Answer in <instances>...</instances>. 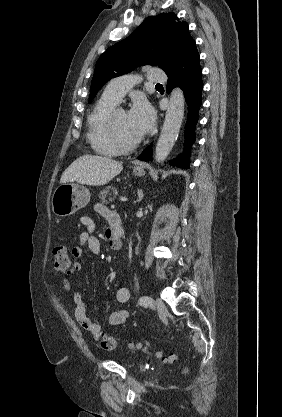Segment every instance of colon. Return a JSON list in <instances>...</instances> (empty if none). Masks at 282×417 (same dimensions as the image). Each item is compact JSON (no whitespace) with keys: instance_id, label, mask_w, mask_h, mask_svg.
Wrapping results in <instances>:
<instances>
[{"instance_id":"5ec220e1","label":"colon","mask_w":282,"mask_h":417,"mask_svg":"<svg viewBox=\"0 0 282 417\" xmlns=\"http://www.w3.org/2000/svg\"><path fill=\"white\" fill-rule=\"evenodd\" d=\"M54 268L59 273H70L74 270L75 265L72 263L67 249L64 245H56L52 251ZM102 347L104 353H113L115 347V340L114 339H103L102 340ZM134 348L140 351H144L149 354H154L159 359H163L162 354L154 353L151 349V346L147 343H136ZM173 356L168 357L164 360L165 363H170L173 360Z\"/></svg>"}]
</instances>
